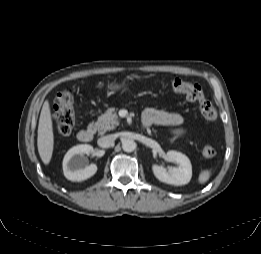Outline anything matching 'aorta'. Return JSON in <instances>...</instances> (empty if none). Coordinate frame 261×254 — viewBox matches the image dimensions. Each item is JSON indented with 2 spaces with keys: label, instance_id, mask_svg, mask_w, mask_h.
I'll return each instance as SVG.
<instances>
[{
  "label": "aorta",
  "instance_id": "aorta-1",
  "mask_svg": "<svg viewBox=\"0 0 261 254\" xmlns=\"http://www.w3.org/2000/svg\"><path fill=\"white\" fill-rule=\"evenodd\" d=\"M136 148V143L132 139H125L122 141V149L125 152H132Z\"/></svg>",
  "mask_w": 261,
  "mask_h": 254
}]
</instances>
